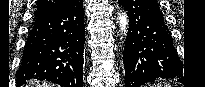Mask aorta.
Listing matches in <instances>:
<instances>
[{
	"instance_id": "762f6f07",
	"label": "aorta",
	"mask_w": 205,
	"mask_h": 87,
	"mask_svg": "<svg viewBox=\"0 0 205 87\" xmlns=\"http://www.w3.org/2000/svg\"><path fill=\"white\" fill-rule=\"evenodd\" d=\"M118 23L120 31L123 35H126L128 32V16L125 12H119L118 14Z\"/></svg>"
}]
</instances>
